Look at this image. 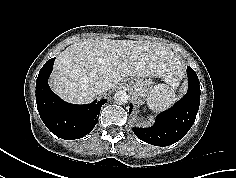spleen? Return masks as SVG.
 Here are the masks:
<instances>
[{
  "instance_id": "spleen-1",
  "label": "spleen",
  "mask_w": 236,
  "mask_h": 178,
  "mask_svg": "<svg viewBox=\"0 0 236 178\" xmlns=\"http://www.w3.org/2000/svg\"><path fill=\"white\" fill-rule=\"evenodd\" d=\"M146 100L148 107L152 111L160 112L168 109L173 103H175L177 96L172 85L162 83L155 85L151 89Z\"/></svg>"
}]
</instances>
